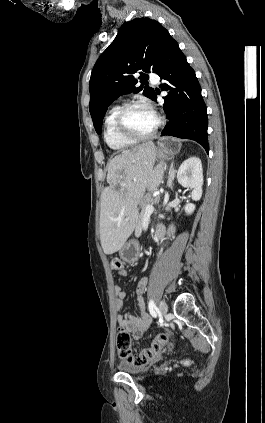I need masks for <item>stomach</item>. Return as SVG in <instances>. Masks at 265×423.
Segmentation results:
<instances>
[{
  "label": "stomach",
  "instance_id": "obj_1",
  "mask_svg": "<svg viewBox=\"0 0 265 423\" xmlns=\"http://www.w3.org/2000/svg\"><path fill=\"white\" fill-rule=\"evenodd\" d=\"M157 154L162 160H170L177 151V146L170 138L161 139L158 143ZM120 257L128 262L135 263L140 258V246L138 241L130 240L119 251Z\"/></svg>",
  "mask_w": 265,
  "mask_h": 423
}]
</instances>
